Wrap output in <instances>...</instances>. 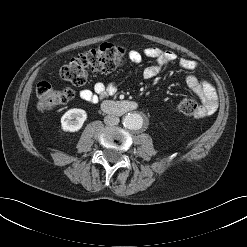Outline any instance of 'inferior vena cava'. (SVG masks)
Instances as JSON below:
<instances>
[{
    "label": "inferior vena cava",
    "mask_w": 247,
    "mask_h": 247,
    "mask_svg": "<svg viewBox=\"0 0 247 247\" xmlns=\"http://www.w3.org/2000/svg\"><path fill=\"white\" fill-rule=\"evenodd\" d=\"M119 118L115 115H107L104 118V123L108 126H114L119 123Z\"/></svg>",
    "instance_id": "inferior-vena-cava-1"
}]
</instances>
